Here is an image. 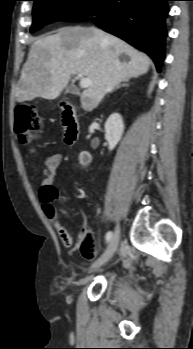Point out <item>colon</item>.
<instances>
[{"mask_svg": "<svg viewBox=\"0 0 193 349\" xmlns=\"http://www.w3.org/2000/svg\"><path fill=\"white\" fill-rule=\"evenodd\" d=\"M44 131V122L37 110L30 105H19L15 110V132L23 144H29L41 137ZM48 211L53 210L48 206Z\"/></svg>", "mask_w": 193, "mask_h": 349, "instance_id": "obj_1", "label": "colon"}]
</instances>
